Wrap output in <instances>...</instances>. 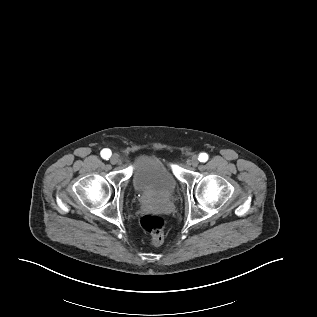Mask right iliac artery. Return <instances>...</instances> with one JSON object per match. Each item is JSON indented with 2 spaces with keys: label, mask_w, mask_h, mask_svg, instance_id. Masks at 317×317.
I'll return each instance as SVG.
<instances>
[{
  "label": "right iliac artery",
  "mask_w": 317,
  "mask_h": 317,
  "mask_svg": "<svg viewBox=\"0 0 317 317\" xmlns=\"http://www.w3.org/2000/svg\"><path fill=\"white\" fill-rule=\"evenodd\" d=\"M100 154H101V157L103 159L108 160L112 153H111L110 149H103Z\"/></svg>",
  "instance_id": "82829eb1"
}]
</instances>
